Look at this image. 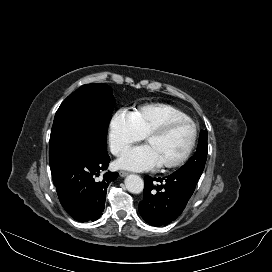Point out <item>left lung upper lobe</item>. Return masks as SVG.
I'll return each mask as SVG.
<instances>
[{
  "label": "left lung upper lobe",
  "mask_w": 272,
  "mask_h": 272,
  "mask_svg": "<svg viewBox=\"0 0 272 272\" xmlns=\"http://www.w3.org/2000/svg\"><path fill=\"white\" fill-rule=\"evenodd\" d=\"M207 137L208 133L205 130L200 132L199 143L195 155L189 159V161L182 166L179 172L193 171L202 174L207 159Z\"/></svg>",
  "instance_id": "5c2ea615"
}]
</instances>
